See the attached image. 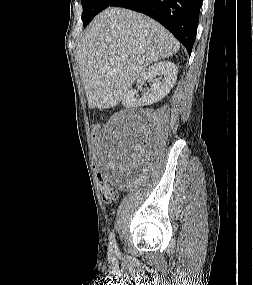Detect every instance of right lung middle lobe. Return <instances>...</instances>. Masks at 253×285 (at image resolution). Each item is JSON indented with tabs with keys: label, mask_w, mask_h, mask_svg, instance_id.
<instances>
[{
	"label": "right lung middle lobe",
	"mask_w": 253,
	"mask_h": 285,
	"mask_svg": "<svg viewBox=\"0 0 253 285\" xmlns=\"http://www.w3.org/2000/svg\"><path fill=\"white\" fill-rule=\"evenodd\" d=\"M116 0H81L83 6V26L87 25L99 12L109 7Z\"/></svg>",
	"instance_id": "dd1d6c3e"
}]
</instances>
